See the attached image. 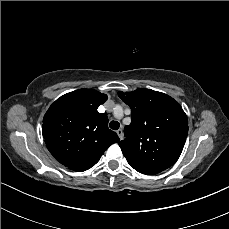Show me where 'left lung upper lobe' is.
<instances>
[{
	"label": "left lung upper lobe",
	"instance_id": "left-lung-upper-lobe-1",
	"mask_svg": "<svg viewBox=\"0 0 229 229\" xmlns=\"http://www.w3.org/2000/svg\"><path fill=\"white\" fill-rule=\"evenodd\" d=\"M119 97L131 108V124L119 146L129 165L155 175L179 158L188 134V119L181 105L167 94L137 89Z\"/></svg>",
	"mask_w": 229,
	"mask_h": 229
}]
</instances>
